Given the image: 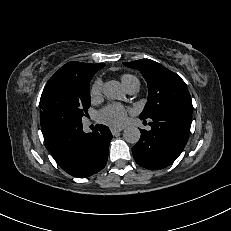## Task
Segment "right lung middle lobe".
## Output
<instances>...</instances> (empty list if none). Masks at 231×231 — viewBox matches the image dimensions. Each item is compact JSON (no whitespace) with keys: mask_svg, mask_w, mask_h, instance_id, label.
Returning a JSON list of instances; mask_svg holds the SVG:
<instances>
[{"mask_svg":"<svg viewBox=\"0 0 231 231\" xmlns=\"http://www.w3.org/2000/svg\"><path fill=\"white\" fill-rule=\"evenodd\" d=\"M93 76L53 75L40 98V122L48 137L82 122L90 107Z\"/></svg>","mask_w":231,"mask_h":231,"instance_id":"obj_1","label":"right lung middle lobe"}]
</instances>
